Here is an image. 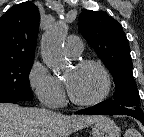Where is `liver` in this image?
Returning <instances> with one entry per match:
<instances>
[{
  "instance_id": "liver-1",
  "label": "liver",
  "mask_w": 144,
  "mask_h": 137,
  "mask_svg": "<svg viewBox=\"0 0 144 137\" xmlns=\"http://www.w3.org/2000/svg\"><path fill=\"white\" fill-rule=\"evenodd\" d=\"M99 115H63L47 109L0 103V137H68Z\"/></svg>"
}]
</instances>
